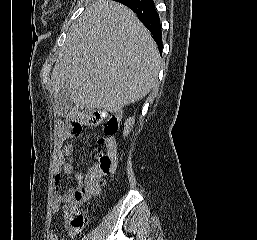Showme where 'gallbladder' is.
<instances>
[{
  "label": "gallbladder",
  "instance_id": "gallbladder-1",
  "mask_svg": "<svg viewBox=\"0 0 257 240\" xmlns=\"http://www.w3.org/2000/svg\"><path fill=\"white\" fill-rule=\"evenodd\" d=\"M73 108L74 103L67 93H60L58 98L54 100V110L59 116L69 115Z\"/></svg>",
  "mask_w": 257,
  "mask_h": 240
}]
</instances>
